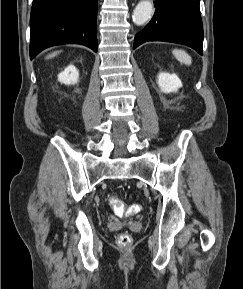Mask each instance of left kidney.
I'll return each mask as SVG.
<instances>
[{"label":"left kidney","mask_w":243,"mask_h":289,"mask_svg":"<svg viewBox=\"0 0 243 289\" xmlns=\"http://www.w3.org/2000/svg\"><path fill=\"white\" fill-rule=\"evenodd\" d=\"M158 86L164 93L177 92L182 86L180 79L175 74L161 72L158 75Z\"/></svg>","instance_id":"left-kidney-1"}]
</instances>
